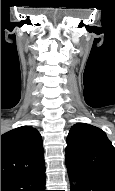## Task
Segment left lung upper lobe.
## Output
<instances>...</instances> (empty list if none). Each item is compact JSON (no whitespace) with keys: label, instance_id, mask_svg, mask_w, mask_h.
<instances>
[{"label":"left lung upper lobe","instance_id":"1","mask_svg":"<svg viewBox=\"0 0 115 191\" xmlns=\"http://www.w3.org/2000/svg\"><path fill=\"white\" fill-rule=\"evenodd\" d=\"M67 143L68 168L115 183V150L103 130L77 123L72 126Z\"/></svg>","mask_w":115,"mask_h":191}]
</instances>
